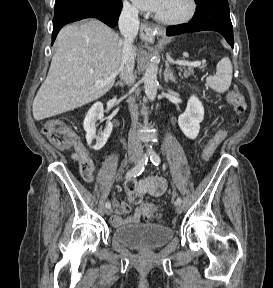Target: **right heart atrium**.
Returning a JSON list of instances; mask_svg holds the SVG:
<instances>
[{
  "mask_svg": "<svg viewBox=\"0 0 273 288\" xmlns=\"http://www.w3.org/2000/svg\"><path fill=\"white\" fill-rule=\"evenodd\" d=\"M123 10L129 16H136L138 11L134 5L129 3L128 1H124Z\"/></svg>",
  "mask_w": 273,
  "mask_h": 288,
  "instance_id": "1",
  "label": "right heart atrium"
}]
</instances>
